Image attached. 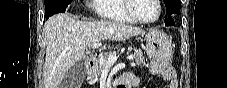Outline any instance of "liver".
<instances>
[{
	"instance_id": "6515ba94",
	"label": "liver",
	"mask_w": 227,
	"mask_h": 88,
	"mask_svg": "<svg viewBox=\"0 0 227 88\" xmlns=\"http://www.w3.org/2000/svg\"><path fill=\"white\" fill-rule=\"evenodd\" d=\"M144 34L140 28L114 21L85 22L69 13L52 16L43 28L46 42L44 88H58L67 71L84 57L93 43L124 41Z\"/></svg>"
}]
</instances>
